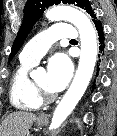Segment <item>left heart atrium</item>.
<instances>
[{"label": "left heart atrium", "mask_w": 117, "mask_h": 136, "mask_svg": "<svg viewBox=\"0 0 117 136\" xmlns=\"http://www.w3.org/2000/svg\"><path fill=\"white\" fill-rule=\"evenodd\" d=\"M71 75L72 63L66 54L59 52L49 59L47 85L53 93L63 90L69 82Z\"/></svg>", "instance_id": "left-heart-atrium-1"}]
</instances>
